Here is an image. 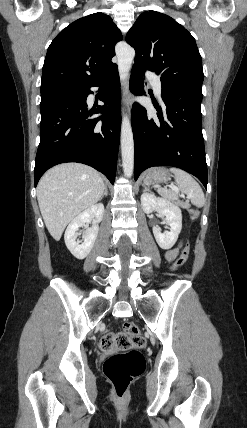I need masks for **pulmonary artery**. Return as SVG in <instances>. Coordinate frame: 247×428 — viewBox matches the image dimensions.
Segmentation results:
<instances>
[{"label":"pulmonary artery","mask_w":247,"mask_h":428,"mask_svg":"<svg viewBox=\"0 0 247 428\" xmlns=\"http://www.w3.org/2000/svg\"><path fill=\"white\" fill-rule=\"evenodd\" d=\"M146 76L152 82L155 93L157 95H160L161 94V81H160V79L152 72H147Z\"/></svg>","instance_id":"pulmonary-artery-1"}]
</instances>
